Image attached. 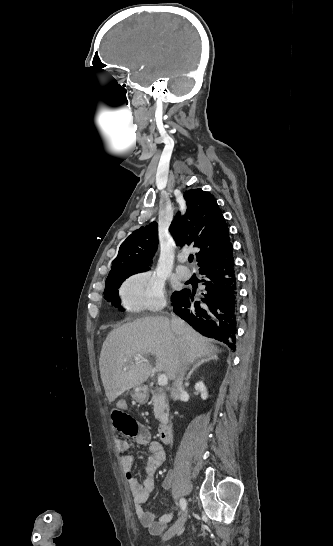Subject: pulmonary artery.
<instances>
[{"instance_id":"obj_1","label":"pulmonary artery","mask_w":333,"mask_h":546,"mask_svg":"<svg viewBox=\"0 0 333 546\" xmlns=\"http://www.w3.org/2000/svg\"><path fill=\"white\" fill-rule=\"evenodd\" d=\"M185 260L186 259L184 257L180 258L181 263L185 262ZM175 270L177 275L183 280H188L192 276L191 270L183 264H178Z\"/></svg>"}]
</instances>
